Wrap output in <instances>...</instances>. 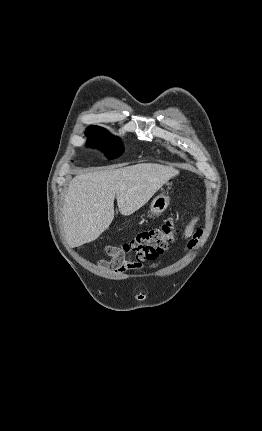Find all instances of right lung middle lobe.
Returning a JSON list of instances; mask_svg holds the SVG:
<instances>
[{"mask_svg": "<svg viewBox=\"0 0 262 431\" xmlns=\"http://www.w3.org/2000/svg\"><path fill=\"white\" fill-rule=\"evenodd\" d=\"M86 136L88 137V145L100 148L109 159H114L123 152L120 140L110 135L103 128L89 127L86 130Z\"/></svg>", "mask_w": 262, "mask_h": 431, "instance_id": "obj_1", "label": "right lung middle lobe"}]
</instances>
